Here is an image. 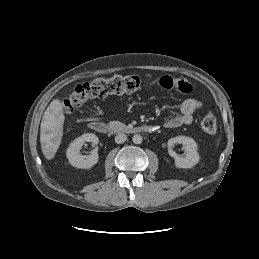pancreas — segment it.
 <instances>
[{"mask_svg":"<svg viewBox=\"0 0 259 259\" xmlns=\"http://www.w3.org/2000/svg\"><path fill=\"white\" fill-rule=\"evenodd\" d=\"M109 127L113 130H124L127 129L126 125L119 121H111Z\"/></svg>","mask_w":259,"mask_h":259,"instance_id":"1","label":"pancreas"}]
</instances>
